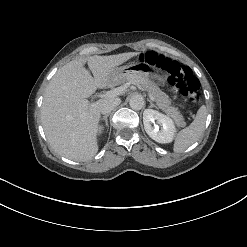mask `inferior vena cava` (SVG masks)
Listing matches in <instances>:
<instances>
[{
    "label": "inferior vena cava",
    "mask_w": 247,
    "mask_h": 247,
    "mask_svg": "<svg viewBox=\"0 0 247 247\" xmlns=\"http://www.w3.org/2000/svg\"><path fill=\"white\" fill-rule=\"evenodd\" d=\"M119 98H109L101 101L99 109L102 114L110 113L116 106L120 104Z\"/></svg>",
    "instance_id": "602c4592"
}]
</instances>
